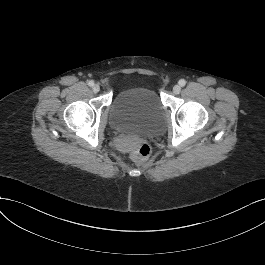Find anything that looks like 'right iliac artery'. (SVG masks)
<instances>
[{
	"instance_id": "right-iliac-artery-1",
	"label": "right iliac artery",
	"mask_w": 265,
	"mask_h": 265,
	"mask_svg": "<svg viewBox=\"0 0 265 265\" xmlns=\"http://www.w3.org/2000/svg\"><path fill=\"white\" fill-rule=\"evenodd\" d=\"M88 85H89L90 87L94 86V81L90 80V81L88 82Z\"/></svg>"
}]
</instances>
